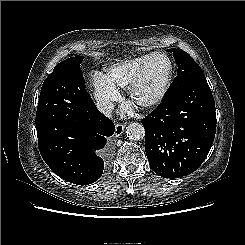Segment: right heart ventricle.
Returning a JSON list of instances; mask_svg holds the SVG:
<instances>
[{
	"label": "right heart ventricle",
	"mask_w": 245,
	"mask_h": 245,
	"mask_svg": "<svg viewBox=\"0 0 245 245\" xmlns=\"http://www.w3.org/2000/svg\"><path fill=\"white\" fill-rule=\"evenodd\" d=\"M148 56L144 54L111 65L106 69V79L116 88H127Z\"/></svg>",
	"instance_id": "1"
}]
</instances>
